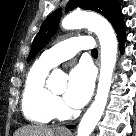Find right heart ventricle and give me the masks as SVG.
Wrapping results in <instances>:
<instances>
[{
    "label": "right heart ventricle",
    "mask_w": 136,
    "mask_h": 136,
    "mask_svg": "<svg viewBox=\"0 0 136 136\" xmlns=\"http://www.w3.org/2000/svg\"><path fill=\"white\" fill-rule=\"evenodd\" d=\"M50 66L38 60L30 68L22 93V110L25 117L33 122L46 124L55 116V96L46 85Z\"/></svg>",
    "instance_id": "obj_1"
}]
</instances>
